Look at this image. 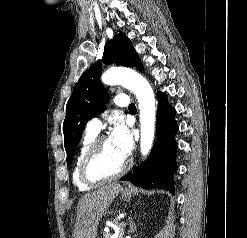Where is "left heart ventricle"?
Instances as JSON below:
<instances>
[{
	"instance_id": "b2bd125f",
	"label": "left heart ventricle",
	"mask_w": 247,
	"mask_h": 238,
	"mask_svg": "<svg viewBox=\"0 0 247 238\" xmlns=\"http://www.w3.org/2000/svg\"><path fill=\"white\" fill-rule=\"evenodd\" d=\"M126 161V157L121 155L114 147L110 139L103 145L97 160L93 165L96 174L109 175L119 171Z\"/></svg>"
}]
</instances>
